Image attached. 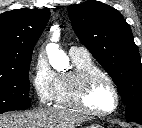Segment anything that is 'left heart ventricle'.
<instances>
[{"mask_svg":"<svg viewBox=\"0 0 142 128\" xmlns=\"http://www.w3.org/2000/svg\"><path fill=\"white\" fill-rule=\"evenodd\" d=\"M88 102L98 111L111 110L115 104V97L110 85L103 79L96 81L90 90Z\"/></svg>","mask_w":142,"mask_h":128,"instance_id":"obj_1","label":"left heart ventricle"}]
</instances>
